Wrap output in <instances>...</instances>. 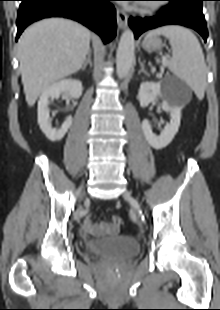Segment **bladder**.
I'll return each mask as SVG.
<instances>
[{"instance_id": "bladder-1", "label": "bladder", "mask_w": 220, "mask_h": 310, "mask_svg": "<svg viewBox=\"0 0 220 310\" xmlns=\"http://www.w3.org/2000/svg\"><path fill=\"white\" fill-rule=\"evenodd\" d=\"M87 251L101 259L125 261L136 256L140 244L128 237L114 236L92 239L86 244Z\"/></svg>"}]
</instances>
